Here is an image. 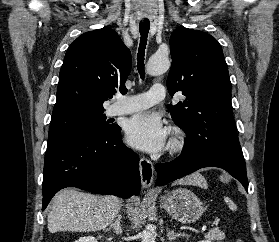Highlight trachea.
<instances>
[{
	"label": "trachea",
	"mask_w": 279,
	"mask_h": 242,
	"mask_svg": "<svg viewBox=\"0 0 279 242\" xmlns=\"http://www.w3.org/2000/svg\"><path fill=\"white\" fill-rule=\"evenodd\" d=\"M149 29H150V22L148 20H145L144 22L140 23L139 32H140L141 37H140L138 54H137V68H138V71H139V74H140L142 80L145 77L144 56H145V49H146V45H147Z\"/></svg>",
	"instance_id": "obj_1"
}]
</instances>
